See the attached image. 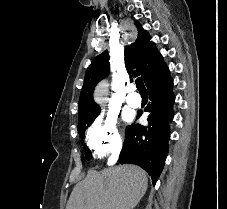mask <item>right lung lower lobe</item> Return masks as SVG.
Returning <instances> with one entry per match:
<instances>
[{"instance_id": "right-lung-lower-lobe-1", "label": "right lung lower lobe", "mask_w": 227, "mask_h": 209, "mask_svg": "<svg viewBox=\"0 0 227 209\" xmlns=\"http://www.w3.org/2000/svg\"><path fill=\"white\" fill-rule=\"evenodd\" d=\"M146 87L150 99L145 108L146 112H150L148 127L133 124L126 128L125 141L118 161L121 164L139 165L148 172L155 185L168 154L169 123L174 115L173 80L164 63L148 80ZM139 116L138 114L137 118Z\"/></svg>"}]
</instances>
